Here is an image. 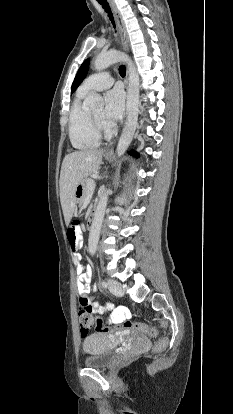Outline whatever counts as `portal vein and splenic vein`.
I'll return each instance as SVG.
<instances>
[{
    "label": "portal vein and splenic vein",
    "mask_w": 233,
    "mask_h": 414,
    "mask_svg": "<svg viewBox=\"0 0 233 414\" xmlns=\"http://www.w3.org/2000/svg\"><path fill=\"white\" fill-rule=\"evenodd\" d=\"M88 188L92 191V190H94V188H95V182H94V180H90L89 182H88Z\"/></svg>",
    "instance_id": "portal-vein-and-splenic-vein-1"
}]
</instances>
